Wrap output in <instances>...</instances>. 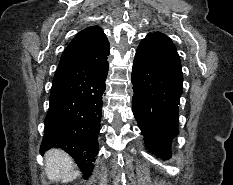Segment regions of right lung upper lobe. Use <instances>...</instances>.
Instances as JSON below:
<instances>
[{
  "instance_id": "1",
  "label": "right lung upper lobe",
  "mask_w": 233,
  "mask_h": 185,
  "mask_svg": "<svg viewBox=\"0 0 233 185\" xmlns=\"http://www.w3.org/2000/svg\"><path fill=\"white\" fill-rule=\"evenodd\" d=\"M109 42L103 30L92 26L79 32L64 50L60 66L98 65L107 60Z\"/></svg>"
}]
</instances>
